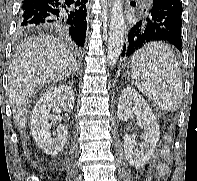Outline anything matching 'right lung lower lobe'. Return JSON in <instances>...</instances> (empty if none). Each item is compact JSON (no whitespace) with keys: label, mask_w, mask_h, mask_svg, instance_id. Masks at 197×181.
Returning <instances> with one entry per match:
<instances>
[{"label":"right lung lower lobe","mask_w":197,"mask_h":181,"mask_svg":"<svg viewBox=\"0 0 197 181\" xmlns=\"http://www.w3.org/2000/svg\"><path fill=\"white\" fill-rule=\"evenodd\" d=\"M86 0H22L19 26L52 29L83 47L86 36Z\"/></svg>","instance_id":"right-lung-lower-lobe-1"}]
</instances>
